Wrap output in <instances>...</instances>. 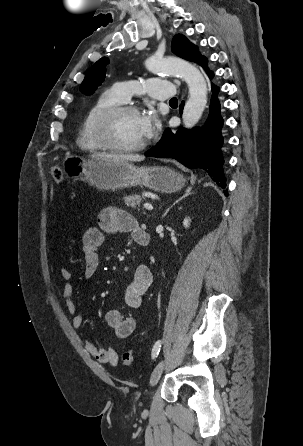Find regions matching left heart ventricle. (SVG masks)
<instances>
[{
    "label": "left heart ventricle",
    "mask_w": 303,
    "mask_h": 446,
    "mask_svg": "<svg viewBox=\"0 0 303 446\" xmlns=\"http://www.w3.org/2000/svg\"><path fill=\"white\" fill-rule=\"evenodd\" d=\"M111 139L121 146H130L144 141L140 128V115L125 113L118 116L112 124Z\"/></svg>",
    "instance_id": "1"
}]
</instances>
